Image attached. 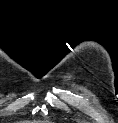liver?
<instances>
[{"label":"liver","mask_w":118,"mask_h":123,"mask_svg":"<svg viewBox=\"0 0 118 123\" xmlns=\"http://www.w3.org/2000/svg\"><path fill=\"white\" fill-rule=\"evenodd\" d=\"M24 123H46V122H39V121H36V122H24Z\"/></svg>","instance_id":"liver-1"}]
</instances>
